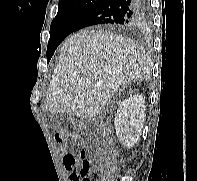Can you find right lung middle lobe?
<instances>
[{
    "label": "right lung middle lobe",
    "mask_w": 197,
    "mask_h": 181,
    "mask_svg": "<svg viewBox=\"0 0 197 181\" xmlns=\"http://www.w3.org/2000/svg\"><path fill=\"white\" fill-rule=\"evenodd\" d=\"M92 6L90 4H84L75 8L58 11L50 26V39L46 51L48 63L59 44L72 33L80 17Z\"/></svg>",
    "instance_id": "right-lung-middle-lobe-1"
}]
</instances>
